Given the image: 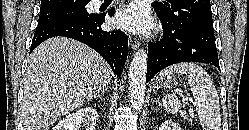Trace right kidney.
<instances>
[{"instance_id": "ca27d5eb", "label": "right kidney", "mask_w": 249, "mask_h": 130, "mask_svg": "<svg viewBox=\"0 0 249 130\" xmlns=\"http://www.w3.org/2000/svg\"><path fill=\"white\" fill-rule=\"evenodd\" d=\"M97 118L98 113L94 108H81L75 113L66 116L53 130H77L82 124L85 130H95Z\"/></svg>"}]
</instances>
